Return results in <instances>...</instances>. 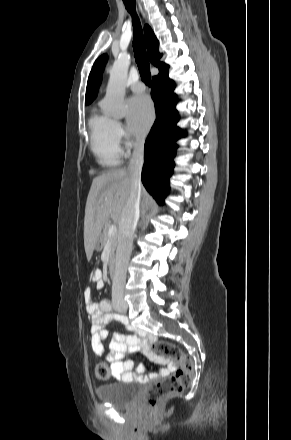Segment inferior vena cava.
<instances>
[{
  "instance_id": "obj_1",
  "label": "inferior vena cava",
  "mask_w": 291,
  "mask_h": 440,
  "mask_svg": "<svg viewBox=\"0 0 291 440\" xmlns=\"http://www.w3.org/2000/svg\"><path fill=\"white\" fill-rule=\"evenodd\" d=\"M144 139L138 140L130 159L127 172L130 175V194L119 222L115 272L112 284V300L126 305L124 299L127 266L133 246V235L140 215L141 171L143 166Z\"/></svg>"
}]
</instances>
